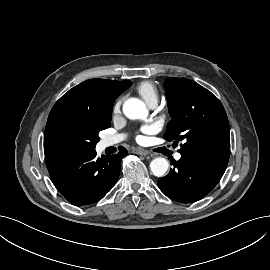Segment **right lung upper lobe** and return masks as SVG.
<instances>
[{
	"label": "right lung upper lobe",
	"instance_id": "right-lung-upper-lobe-1",
	"mask_svg": "<svg viewBox=\"0 0 270 270\" xmlns=\"http://www.w3.org/2000/svg\"><path fill=\"white\" fill-rule=\"evenodd\" d=\"M131 84V81L99 78L86 80L70 89L55 103L46 125L63 114L91 115L100 118L111 116L114 100Z\"/></svg>",
	"mask_w": 270,
	"mask_h": 270
}]
</instances>
